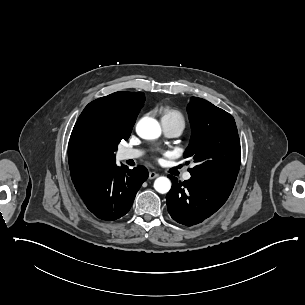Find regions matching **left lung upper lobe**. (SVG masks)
Here are the masks:
<instances>
[{
  "mask_svg": "<svg viewBox=\"0 0 305 305\" xmlns=\"http://www.w3.org/2000/svg\"><path fill=\"white\" fill-rule=\"evenodd\" d=\"M187 111L192 136L184 157L197 164L189 169L191 177L234 186L241 148L233 116L198 97L191 98Z\"/></svg>",
  "mask_w": 305,
  "mask_h": 305,
  "instance_id": "obj_1",
  "label": "left lung upper lobe"
}]
</instances>
